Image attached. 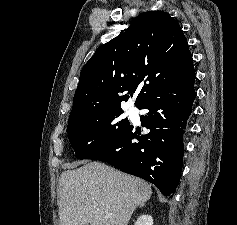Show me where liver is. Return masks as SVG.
<instances>
[{"instance_id":"1","label":"liver","mask_w":237,"mask_h":225,"mask_svg":"<svg viewBox=\"0 0 237 225\" xmlns=\"http://www.w3.org/2000/svg\"><path fill=\"white\" fill-rule=\"evenodd\" d=\"M58 194L61 225H127L152 189L140 178L89 162L62 172Z\"/></svg>"}]
</instances>
